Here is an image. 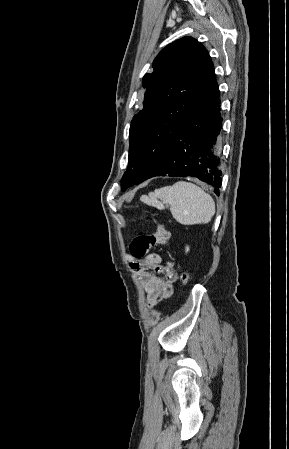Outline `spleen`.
Segmentation results:
<instances>
[{
  "instance_id": "spleen-1",
  "label": "spleen",
  "mask_w": 289,
  "mask_h": 449,
  "mask_svg": "<svg viewBox=\"0 0 289 449\" xmlns=\"http://www.w3.org/2000/svg\"><path fill=\"white\" fill-rule=\"evenodd\" d=\"M141 200L160 210L168 208L173 218L183 225L207 224L215 214L213 198L197 185L186 181L156 189Z\"/></svg>"
}]
</instances>
